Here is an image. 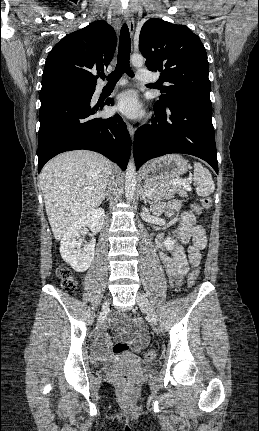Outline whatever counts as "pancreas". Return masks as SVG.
Wrapping results in <instances>:
<instances>
[{
    "instance_id": "pancreas-1",
    "label": "pancreas",
    "mask_w": 259,
    "mask_h": 431,
    "mask_svg": "<svg viewBox=\"0 0 259 431\" xmlns=\"http://www.w3.org/2000/svg\"><path fill=\"white\" fill-rule=\"evenodd\" d=\"M171 181L163 182H146L145 187L151 191L149 199L151 200H162L171 199L175 193H178L180 197H188V189L180 184H172Z\"/></svg>"
}]
</instances>
